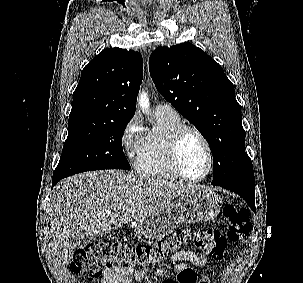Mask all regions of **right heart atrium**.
I'll use <instances>...</instances> for the list:
<instances>
[{
	"instance_id": "right-heart-atrium-1",
	"label": "right heart atrium",
	"mask_w": 303,
	"mask_h": 283,
	"mask_svg": "<svg viewBox=\"0 0 303 283\" xmlns=\"http://www.w3.org/2000/svg\"><path fill=\"white\" fill-rule=\"evenodd\" d=\"M144 139L142 124L137 116H133L124 126L121 133V146L128 157L135 156Z\"/></svg>"
}]
</instances>
